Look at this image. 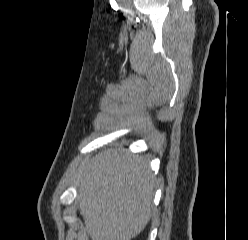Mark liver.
<instances>
[{"mask_svg": "<svg viewBox=\"0 0 248 240\" xmlns=\"http://www.w3.org/2000/svg\"><path fill=\"white\" fill-rule=\"evenodd\" d=\"M154 177L138 155L114 149L85 166L78 208L92 240H131L150 220Z\"/></svg>", "mask_w": 248, "mask_h": 240, "instance_id": "6515ba94", "label": "liver"}]
</instances>
